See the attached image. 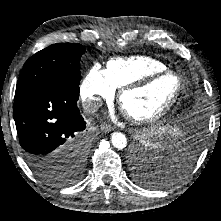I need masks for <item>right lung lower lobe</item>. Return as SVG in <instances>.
Instances as JSON below:
<instances>
[{
  "instance_id": "obj_1",
  "label": "right lung lower lobe",
  "mask_w": 221,
  "mask_h": 221,
  "mask_svg": "<svg viewBox=\"0 0 221 221\" xmlns=\"http://www.w3.org/2000/svg\"><path fill=\"white\" fill-rule=\"evenodd\" d=\"M78 98L79 89L50 85L15 99L13 116L20 145L35 173L49 166L60 170L85 148L86 122L77 107Z\"/></svg>"
}]
</instances>
